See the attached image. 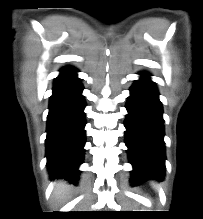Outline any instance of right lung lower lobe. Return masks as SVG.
<instances>
[{
	"label": "right lung lower lobe",
	"instance_id": "98d812e1",
	"mask_svg": "<svg viewBox=\"0 0 203 219\" xmlns=\"http://www.w3.org/2000/svg\"><path fill=\"white\" fill-rule=\"evenodd\" d=\"M55 79L47 117L46 157L52 178L77 182L83 162L86 106L77 70L65 67Z\"/></svg>",
	"mask_w": 203,
	"mask_h": 219
}]
</instances>
